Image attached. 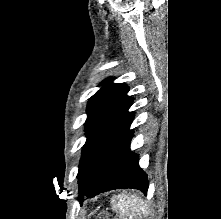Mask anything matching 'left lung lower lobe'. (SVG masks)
<instances>
[{
    "label": "left lung lower lobe",
    "mask_w": 221,
    "mask_h": 219,
    "mask_svg": "<svg viewBox=\"0 0 221 219\" xmlns=\"http://www.w3.org/2000/svg\"><path fill=\"white\" fill-rule=\"evenodd\" d=\"M134 112H127L104 136L79 174V201L118 188H136L147 193V175L138 164V155L130 151L133 131L129 127Z\"/></svg>",
    "instance_id": "1"
}]
</instances>
